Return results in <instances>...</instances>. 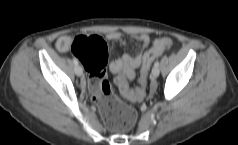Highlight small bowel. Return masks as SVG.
<instances>
[{
    "mask_svg": "<svg viewBox=\"0 0 238 145\" xmlns=\"http://www.w3.org/2000/svg\"><path fill=\"white\" fill-rule=\"evenodd\" d=\"M75 36L64 35L61 36L56 43V47L60 52H67L71 49L70 42ZM133 37L142 42L143 50L135 57L128 54L122 55L117 60H114L110 63V70L114 73L123 72L125 76L129 79H134L136 76V69L141 65L142 58L144 55V49L150 43V37L147 34H134ZM107 38L112 41H117L122 45H125L124 35L121 32L113 31L107 34ZM168 40V44L165 45V49H169L173 42L168 38H162Z\"/></svg>",
    "mask_w": 238,
    "mask_h": 145,
    "instance_id": "c3829d8e",
    "label": "small bowel"
}]
</instances>
